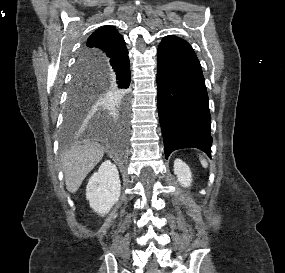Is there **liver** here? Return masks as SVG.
<instances>
[{"label":"liver","mask_w":285,"mask_h":273,"mask_svg":"<svg viewBox=\"0 0 285 273\" xmlns=\"http://www.w3.org/2000/svg\"><path fill=\"white\" fill-rule=\"evenodd\" d=\"M104 155L102 146L94 142H85L65 152L62 157V169L65 184L69 192L75 193L88 173L100 162Z\"/></svg>","instance_id":"obj_1"}]
</instances>
